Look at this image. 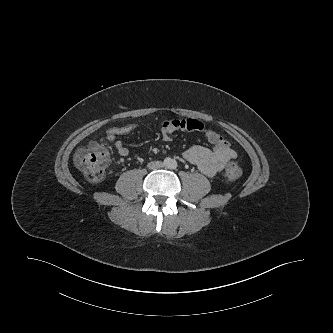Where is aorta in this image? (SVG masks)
Instances as JSON below:
<instances>
[{"instance_id":"762f6f07","label":"aorta","mask_w":333,"mask_h":333,"mask_svg":"<svg viewBox=\"0 0 333 333\" xmlns=\"http://www.w3.org/2000/svg\"><path fill=\"white\" fill-rule=\"evenodd\" d=\"M171 163L175 165V161L174 160H170V164L168 165L169 168L171 167H175V166H171Z\"/></svg>"}]
</instances>
